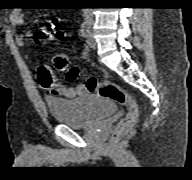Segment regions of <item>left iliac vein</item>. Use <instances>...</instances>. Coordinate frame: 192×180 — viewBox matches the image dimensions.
Listing matches in <instances>:
<instances>
[{"instance_id":"1","label":"left iliac vein","mask_w":192,"mask_h":180,"mask_svg":"<svg viewBox=\"0 0 192 180\" xmlns=\"http://www.w3.org/2000/svg\"><path fill=\"white\" fill-rule=\"evenodd\" d=\"M86 42L87 44L92 48V49H96L97 48V42L94 39V35L91 31H89V33L86 36Z\"/></svg>"}]
</instances>
